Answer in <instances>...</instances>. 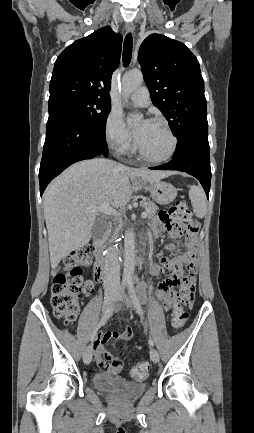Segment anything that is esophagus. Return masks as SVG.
Wrapping results in <instances>:
<instances>
[{"label":"esophagus","mask_w":254,"mask_h":433,"mask_svg":"<svg viewBox=\"0 0 254 433\" xmlns=\"http://www.w3.org/2000/svg\"><path fill=\"white\" fill-rule=\"evenodd\" d=\"M125 29H126L127 32H131V33H133L135 28H134L133 23L128 22V23H126V25H125Z\"/></svg>","instance_id":"34e87169"}]
</instances>
